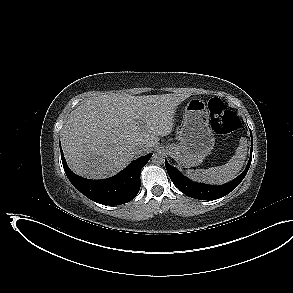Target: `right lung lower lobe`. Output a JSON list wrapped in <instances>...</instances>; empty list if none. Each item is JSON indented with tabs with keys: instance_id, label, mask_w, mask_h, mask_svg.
I'll return each instance as SVG.
<instances>
[{
	"instance_id": "1",
	"label": "right lung lower lobe",
	"mask_w": 293,
	"mask_h": 293,
	"mask_svg": "<svg viewBox=\"0 0 293 293\" xmlns=\"http://www.w3.org/2000/svg\"><path fill=\"white\" fill-rule=\"evenodd\" d=\"M61 153L64 171L73 186L92 201L103 205H120L134 199L141 186V169L152 156L150 153L136 159L125 170L111 178L90 180L74 174L68 168L62 150Z\"/></svg>"
}]
</instances>
